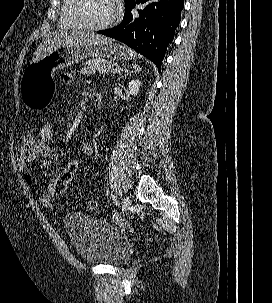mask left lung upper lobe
<instances>
[{
  "label": "left lung upper lobe",
  "mask_w": 272,
  "mask_h": 303,
  "mask_svg": "<svg viewBox=\"0 0 272 303\" xmlns=\"http://www.w3.org/2000/svg\"><path fill=\"white\" fill-rule=\"evenodd\" d=\"M134 0H125V6H129Z\"/></svg>",
  "instance_id": "5c2ea615"
}]
</instances>
